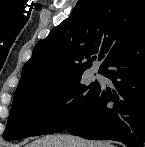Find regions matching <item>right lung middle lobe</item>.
Segmentation results:
<instances>
[{
  "label": "right lung middle lobe",
  "instance_id": "right-lung-middle-lobe-1",
  "mask_svg": "<svg viewBox=\"0 0 145 147\" xmlns=\"http://www.w3.org/2000/svg\"><path fill=\"white\" fill-rule=\"evenodd\" d=\"M74 76L57 87H36L15 92L5 140L58 133L85 109L99 88L98 82L81 83ZM49 107L56 109L51 112Z\"/></svg>",
  "mask_w": 145,
  "mask_h": 147
}]
</instances>
